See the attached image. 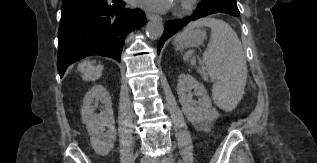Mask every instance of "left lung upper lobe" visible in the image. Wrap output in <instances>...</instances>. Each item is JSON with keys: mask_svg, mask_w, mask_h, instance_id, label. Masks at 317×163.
Segmentation results:
<instances>
[{"mask_svg": "<svg viewBox=\"0 0 317 163\" xmlns=\"http://www.w3.org/2000/svg\"><path fill=\"white\" fill-rule=\"evenodd\" d=\"M204 8L219 9L223 11L239 14L236 0H204L200 3Z\"/></svg>", "mask_w": 317, "mask_h": 163, "instance_id": "left-lung-upper-lobe-1", "label": "left lung upper lobe"}]
</instances>
